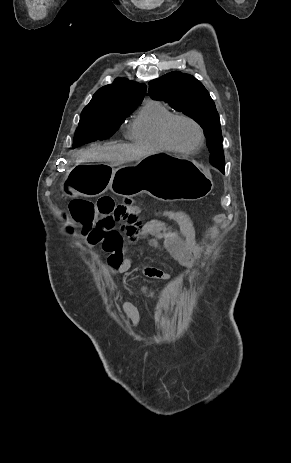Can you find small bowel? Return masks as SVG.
Here are the masks:
<instances>
[{"instance_id": "obj_1", "label": "small bowel", "mask_w": 291, "mask_h": 463, "mask_svg": "<svg viewBox=\"0 0 291 463\" xmlns=\"http://www.w3.org/2000/svg\"><path fill=\"white\" fill-rule=\"evenodd\" d=\"M158 217L142 222L139 208L133 205L119 227L110 230L93 229L84 234L83 244L90 248L101 246L110 254L106 272L112 276L131 269L132 261L128 256L130 246L143 239L156 251L169 253L184 267L182 279H187L200 258L192 222L182 211L163 210L158 213ZM162 219L175 223L178 230L171 229ZM124 234L127 240L124 239ZM141 272L148 278L159 281L166 282L172 279L166 271L148 265H143ZM131 322L133 326H139V322L133 319Z\"/></svg>"}]
</instances>
